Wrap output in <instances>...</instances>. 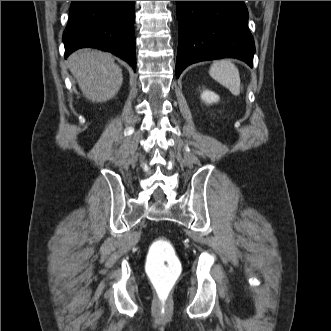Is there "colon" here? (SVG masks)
Here are the masks:
<instances>
[{
    "mask_svg": "<svg viewBox=\"0 0 331 331\" xmlns=\"http://www.w3.org/2000/svg\"><path fill=\"white\" fill-rule=\"evenodd\" d=\"M146 273L156 292L157 302L167 306L182 273L181 263L170 241L158 238L151 244Z\"/></svg>",
    "mask_w": 331,
    "mask_h": 331,
    "instance_id": "5ec220e1",
    "label": "colon"
}]
</instances>
